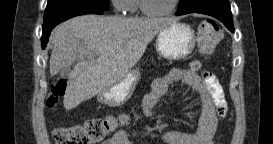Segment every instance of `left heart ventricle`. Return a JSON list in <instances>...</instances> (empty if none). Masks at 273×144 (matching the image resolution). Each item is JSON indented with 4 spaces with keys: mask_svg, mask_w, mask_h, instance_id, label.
<instances>
[{
    "mask_svg": "<svg viewBox=\"0 0 273 144\" xmlns=\"http://www.w3.org/2000/svg\"><path fill=\"white\" fill-rule=\"evenodd\" d=\"M173 0H148L149 8L153 10H166L170 8Z\"/></svg>",
    "mask_w": 273,
    "mask_h": 144,
    "instance_id": "obj_1",
    "label": "left heart ventricle"
}]
</instances>
